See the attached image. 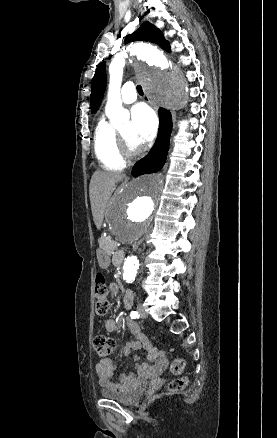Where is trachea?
I'll list each match as a JSON object with an SVG mask.
<instances>
[{
    "instance_id": "trachea-1",
    "label": "trachea",
    "mask_w": 277,
    "mask_h": 438,
    "mask_svg": "<svg viewBox=\"0 0 277 438\" xmlns=\"http://www.w3.org/2000/svg\"><path fill=\"white\" fill-rule=\"evenodd\" d=\"M136 88H137L138 93H139L140 95H143V90H142L141 85H137Z\"/></svg>"
}]
</instances>
